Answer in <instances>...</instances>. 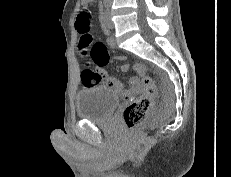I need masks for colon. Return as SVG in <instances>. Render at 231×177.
I'll return each instance as SVG.
<instances>
[{"label": "colon", "mask_w": 231, "mask_h": 177, "mask_svg": "<svg viewBox=\"0 0 231 177\" xmlns=\"http://www.w3.org/2000/svg\"><path fill=\"white\" fill-rule=\"evenodd\" d=\"M76 26L81 35L79 53L82 58L88 59L87 66L92 63L97 66L106 65L110 56L102 43L94 42L91 31V11L88 6L81 9L76 20ZM82 76L87 84L95 85L100 82L99 74L89 68L83 72ZM156 93L154 80L149 76H144L141 79L140 96L132 100L123 110V118L129 129H135L145 121Z\"/></svg>", "instance_id": "1"}]
</instances>
